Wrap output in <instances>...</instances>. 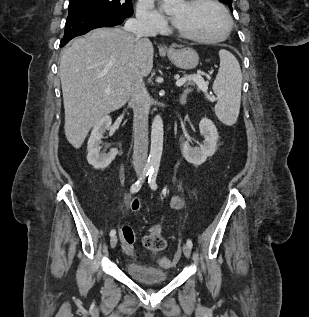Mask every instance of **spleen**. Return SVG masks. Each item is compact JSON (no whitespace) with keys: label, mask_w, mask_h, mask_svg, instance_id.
I'll return each instance as SVG.
<instances>
[{"label":"spleen","mask_w":309,"mask_h":317,"mask_svg":"<svg viewBox=\"0 0 309 317\" xmlns=\"http://www.w3.org/2000/svg\"><path fill=\"white\" fill-rule=\"evenodd\" d=\"M220 67L213 83L217 96L215 114L218 119L230 126L237 121L241 103L242 73L239 62L227 50L219 51Z\"/></svg>","instance_id":"1"}]
</instances>
